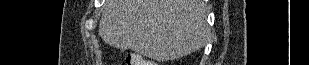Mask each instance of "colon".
<instances>
[{
  "instance_id": "5ec220e1",
  "label": "colon",
  "mask_w": 309,
  "mask_h": 65,
  "mask_svg": "<svg viewBox=\"0 0 309 65\" xmlns=\"http://www.w3.org/2000/svg\"><path fill=\"white\" fill-rule=\"evenodd\" d=\"M128 65H153L152 62H147L141 59L139 56H131L129 54V58L127 59Z\"/></svg>"
}]
</instances>
